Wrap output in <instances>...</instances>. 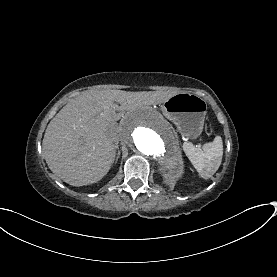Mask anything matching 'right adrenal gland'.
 I'll list each match as a JSON object with an SVG mask.
<instances>
[{
  "instance_id": "right-adrenal-gland-1",
  "label": "right adrenal gland",
  "mask_w": 277,
  "mask_h": 277,
  "mask_svg": "<svg viewBox=\"0 0 277 277\" xmlns=\"http://www.w3.org/2000/svg\"><path fill=\"white\" fill-rule=\"evenodd\" d=\"M120 154H121V150L119 149V147L117 146V155H116V160H115V163L113 166H115V164L118 162V159L120 157Z\"/></svg>"
}]
</instances>
